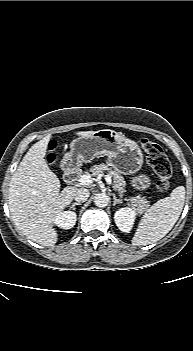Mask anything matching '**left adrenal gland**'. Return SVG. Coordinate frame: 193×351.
<instances>
[{
	"instance_id": "1",
	"label": "left adrenal gland",
	"mask_w": 193,
	"mask_h": 351,
	"mask_svg": "<svg viewBox=\"0 0 193 351\" xmlns=\"http://www.w3.org/2000/svg\"><path fill=\"white\" fill-rule=\"evenodd\" d=\"M112 196H113V200H114L113 201V206H115L118 203H122V200L118 199L114 193H112Z\"/></svg>"
}]
</instances>
